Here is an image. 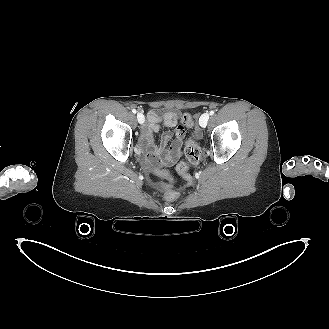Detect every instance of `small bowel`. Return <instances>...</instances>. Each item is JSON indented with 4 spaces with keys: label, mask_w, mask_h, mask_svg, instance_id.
<instances>
[{
    "label": "small bowel",
    "mask_w": 329,
    "mask_h": 329,
    "mask_svg": "<svg viewBox=\"0 0 329 329\" xmlns=\"http://www.w3.org/2000/svg\"><path fill=\"white\" fill-rule=\"evenodd\" d=\"M181 112L177 109H152L147 115V122L142 130L141 147L146 158L153 162L169 164L175 162L182 154L184 129L180 124ZM162 127L176 128L175 138L170 132L163 134L159 144L155 141V134ZM171 142V143H170ZM170 143V146L168 144Z\"/></svg>",
    "instance_id": "obj_1"
}]
</instances>
